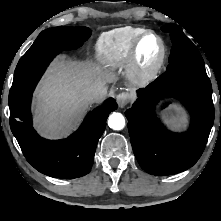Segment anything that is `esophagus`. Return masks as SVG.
Masks as SVG:
<instances>
[{
	"label": "esophagus",
	"mask_w": 221,
	"mask_h": 221,
	"mask_svg": "<svg viewBox=\"0 0 221 221\" xmlns=\"http://www.w3.org/2000/svg\"><path fill=\"white\" fill-rule=\"evenodd\" d=\"M130 102V95L127 92H121L117 95V103L120 108H124Z\"/></svg>",
	"instance_id": "esophagus-1"
}]
</instances>
